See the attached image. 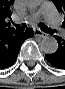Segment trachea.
Wrapping results in <instances>:
<instances>
[{
  "mask_svg": "<svg viewBox=\"0 0 65 89\" xmlns=\"http://www.w3.org/2000/svg\"><path fill=\"white\" fill-rule=\"evenodd\" d=\"M25 27H26L25 24L16 25V29H18V30H24ZM40 28H41V30H42L43 32L50 33V34L54 33V31H53L52 29L48 28V27L45 26L44 24H41V25H40Z\"/></svg>",
  "mask_w": 65,
  "mask_h": 89,
  "instance_id": "trachea-1",
  "label": "trachea"
}]
</instances>
